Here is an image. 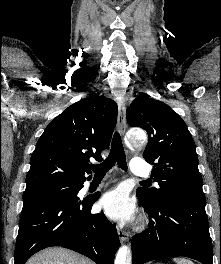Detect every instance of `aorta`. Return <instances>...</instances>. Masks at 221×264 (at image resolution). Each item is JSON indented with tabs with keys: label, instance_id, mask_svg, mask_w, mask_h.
<instances>
[{
	"label": "aorta",
	"instance_id": "1",
	"mask_svg": "<svg viewBox=\"0 0 221 264\" xmlns=\"http://www.w3.org/2000/svg\"><path fill=\"white\" fill-rule=\"evenodd\" d=\"M130 141L137 145H143L146 141V137L142 134H132L129 137ZM132 263V253L131 250L128 249L126 246H123L119 249L116 259H115V264H131Z\"/></svg>",
	"mask_w": 221,
	"mask_h": 264
}]
</instances>
